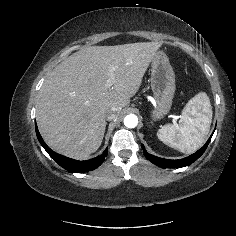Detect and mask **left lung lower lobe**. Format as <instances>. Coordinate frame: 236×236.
<instances>
[{
    "instance_id": "1",
    "label": "left lung lower lobe",
    "mask_w": 236,
    "mask_h": 236,
    "mask_svg": "<svg viewBox=\"0 0 236 236\" xmlns=\"http://www.w3.org/2000/svg\"><path fill=\"white\" fill-rule=\"evenodd\" d=\"M212 135H211V137H212ZM211 137L208 139L206 144L202 148H200L197 152H195L194 154H192L186 158L180 159V160H168V159L156 157L154 155L149 154L145 150L144 145H141V146L143 148V153L146 156V158L149 161H151L152 163H154L155 165H158L162 168H181V167H185V166L192 164L205 152V150L211 140Z\"/></svg>"
}]
</instances>
